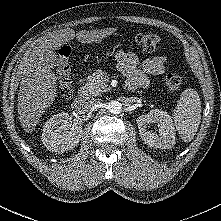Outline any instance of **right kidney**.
<instances>
[{
  "instance_id": "obj_1",
  "label": "right kidney",
  "mask_w": 221,
  "mask_h": 221,
  "mask_svg": "<svg viewBox=\"0 0 221 221\" xmlns=\"http://www.w3.org/2000/svg\"><path fill=\"white\" fill-rule=\"evenodd\" d=\"M82 121L71 120L68 113L52 116L43 126L42 142L52 152H65L73 149L80 141Z\"/></svg>"
}]
</instances>
